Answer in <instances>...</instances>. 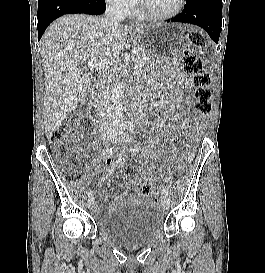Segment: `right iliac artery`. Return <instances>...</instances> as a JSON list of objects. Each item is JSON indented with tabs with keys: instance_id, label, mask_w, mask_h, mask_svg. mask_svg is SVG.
Returning <instances> with one entry per match:
<instances>
[{
	"instance_id": "82829eb1",
	"label": "right iliac artery",
	"mask_w": 265,
	"mask_h": 273,
	"mask_svg": "<svg viewBox=\"0 0 265 273\" xmlns=\"http://www.w3.org/2000/svg\"><path fill=\"white\" fill-rule=\"evenodd\" d=\"M117 131H118L117 133H118L119 138L122 137V135H123V125H119L118 128H117ZM114 152H115L114 147L106 148L103 151V156L104 157H111V156H113ZM87 196L92 197V192L88 191Z\"/></svg>"
}]
</instances>
